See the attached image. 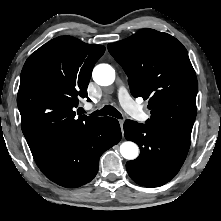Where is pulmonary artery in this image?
Returning <instances> with one entry per match:
<instances>
[{
	"label": "pulmonary artery",
	"mask_w": 221,
	"mask_h": 221,
	"mask_svg": "<svg viewBox=\"0 0 221 221\" xmlns=\"http://www.w3.org/2000/svg\"><path fill=\"white\" fill-rule=\"evenodd\" d=\"M118 98L122 107L134 118L140 121L147 118L145 112L132 100L129 92L124 86L118 89Z\"/></svg>",
	"instance_id": "1"
}]
</instances>
